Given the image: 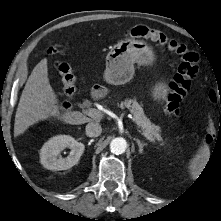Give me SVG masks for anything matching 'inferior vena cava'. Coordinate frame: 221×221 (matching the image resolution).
<instances>
[{
    "label": "inferior vena cava",
    "instance_id": "1",
    "mask_svg": "<svg viewBox=\"0 0 221 221\" xmlns=\"http://www.w3.org/2000/svg\"><path fill=\"white\" fill-rule=\"evenodd\" d=\"M102 132V127L97 122H90L86 125V135L89 137H98Z\"/></svg>",
    "mask_w": 221,
    "mask_h": 221
}]
</instances>
